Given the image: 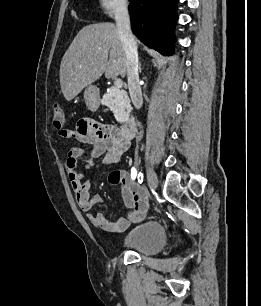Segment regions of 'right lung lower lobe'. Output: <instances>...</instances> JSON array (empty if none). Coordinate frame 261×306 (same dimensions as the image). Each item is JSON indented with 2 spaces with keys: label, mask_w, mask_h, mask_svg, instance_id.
I'll return each mask as SVG.
<instances>
[{
  "label": "right lung lower lobe",
  "mask_w": 261,
  "mask_h": 306,
  "mask_svg": "<svg viewBox=\"0 0 261 306\" xmlns=\"http://www.w3.org/2000/svg\"><path fill=\"white\" fill-rule=\"evenodd\" d=\"M133 33L163 55L173 53L178 0H130Z\"/></svg>",
  "instance_id": "obj_1"
}]
</instances>
